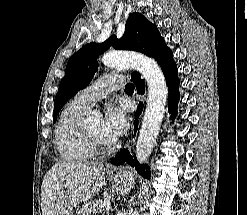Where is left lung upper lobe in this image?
<instances>
[{"instance_id":"5c2ea615","label":"left lung upper lobe","mask_w":247,"mask_h":215,"mask_svg":"<svg viewBox=\"0 0 247 215\" xmlns=\"http://www.w3.org/2000/svg\"><path fill=\"white\" fill-rule=\"evenodd\" d=\"M156 25L142 14L134 12L127 19L125 32L120 39L112 35L103 43H90L82 47L68 61L66 73L55 97L53 122L64 104L79 90L87 86L98 68L97 58L110 46L118 50H133L152 57L163 44ZM135 73V72H134Z\"/></svg>"}]
</instances>
